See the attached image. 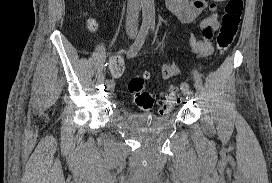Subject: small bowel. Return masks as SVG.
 Instances as JSON below:
<instances>
[{
	"label": "small bowel",
	"instance_id": "c3829d8e",
	"mask_svg": "<svg viewBox=\"0 0 272 183\" xmlns=\"http://www.w3.org/2000/svg\"><path fill=\"white\" fill-rule=\"evenodd\" d=\"M225 0H168L169 10L182 22L193 25L197 18L205 9H209L210 14L200 23V35L203 39H198L195 35L191 36L189 47L197 57H207L213 53V46L209 39L217 36L215 31L219 26L217 14V4ZM124 63L119 56H115L110 61V71L114 77H119L123 73ZM179 73V67L174 63H166L161 67V76L168 80Z\"/></svg>",
	"mask_w": 272,
	"mask_h": 183
}]
</instances>
